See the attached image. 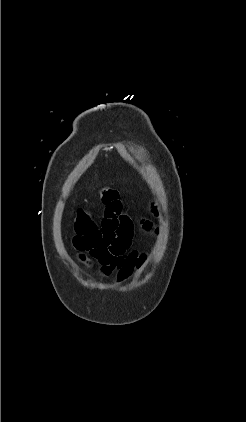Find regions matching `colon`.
<instances>
[{
    "label": "colon",
    "mask_w": 246,
    "mask_h": 422,
    "mask_svg": "<svg viewBox=\"0 0 246 422\" xmlns=\"http://www.w3.org/2000/svg\"><path fill=\"white\" fill-rule=\"evenodd\" d=\"M119 197V192L111 187L105 188L100 196L102 203H104L106 206L117 205L120 203ZM75 214V229L78 233L87 232L94 227L93 222L91 221L89 214L85 209L79 208L76 210ZM143 258L144 257L141 256L139 262H141Z\"/></svg>",
    "instance_id": "5ec220e1"
}]
</instances>
